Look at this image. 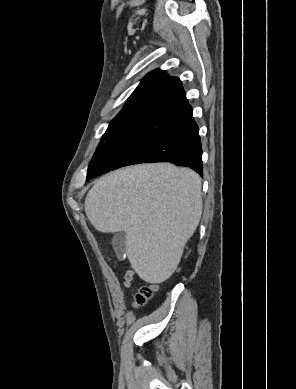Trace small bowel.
<instances>
[{"label": "small bowel", "instance_id": "c3829d8e", "mask_svg": "<svg viewBox=\"0 0 296 389\" xmlns=\"http://www.w3.org/2000/svg\"><path fill=\"white\" fill-rule=\"evenodd\" d=\"M133 276H134V271L132 269H129L126 271V273L124 275V285L125 286H129L131 284Z\"/></svg>", "mask_w": 296, "mask_h": 389}]
</instances>
